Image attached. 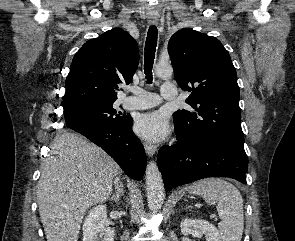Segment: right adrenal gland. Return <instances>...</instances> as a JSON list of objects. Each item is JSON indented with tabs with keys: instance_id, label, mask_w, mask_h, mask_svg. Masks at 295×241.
Here are the masks:
<instances>
[{
	"instance_id": "1",
	"label": "right adrenal gland",
	"mask_w": 295,
	"mask_h": 241,
	"mask_svg": "<svg viewBox=\"0 0 295 241\" xmlns=\"http://www.w3.org/2000/svg\"><path fill=\"white\" fill-rule=\"evenodd\" d=\"M115 191L112 193L111 200L118 202L121 196H124L123 184L119 176H116L114 180Z\"/></svg>"
}]
</instances>
